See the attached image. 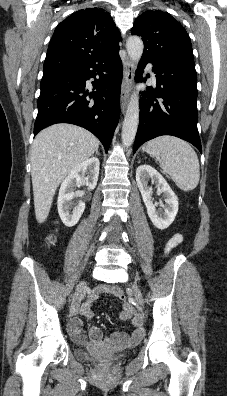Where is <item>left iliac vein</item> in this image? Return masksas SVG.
<instances>
[{"label": "left iliac vein", "mask_w": 227, "mask_h": 396, "mask_svg": "<svg viewBox=\"0 0 227 396\" xmlns=\"http://www.w3.org/2000/svg\"><path fill=\"white\" fill-rule=\"evenodd\" d=\"M132 288H133L135 299L137 300L138 304L143 307L144 302H143V297H142L140 289L134 284L132 285Z\"/></svg>", "instance_id": "left-iliac-vein-1"}]
</instances>
